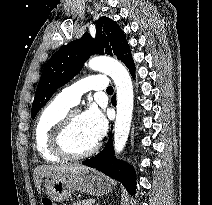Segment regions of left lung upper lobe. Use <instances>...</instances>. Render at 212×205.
I'll return each instance as SVG.
<instances>
[{
  "instance_id": "5c2ea615",
  "label": "left lung upper lobe",
  "mask_w": 212,
  "mask_h": 205,
  "mask_svg": "<svg viewBox=\"0 0 212 205\" xmlns=\"http://www.w3.org/2000/svg\"><path fill=\"white\" fill-rule=\"evenodd\" d=\"M95 53L115 55L122 62L131 55L123 31L107 17L97 21L95 39L85 33L81 39L60 48L45 64L32 104V119L53 93L78 74L85 61Z\"/></svg>"
}]
</instances>
